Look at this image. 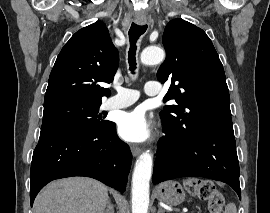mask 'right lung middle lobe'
I'll use <instances>...</instances> for the list:
<instances>
[{
	"label": "right lung middle lobe",
	"mask_w": 270,
	"mask_h": 213,
	"mask_svg": "<svg viewBox=\"0 0 270 213\" xmlns=\"http://www.w3.org/2000/svg\"><path fill=\"white\" fill-rule=\"evenodd\" d=\"M101 103L77 100L44 106L42 127H63L80 131H98L109 124L99 114Z\"/></svg>",
	"instance_id": "right-lung-middle-lobe-1"
}]
</instances>
